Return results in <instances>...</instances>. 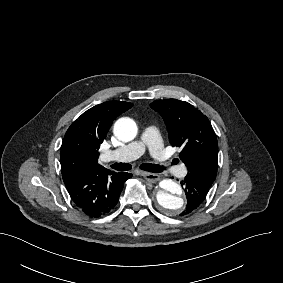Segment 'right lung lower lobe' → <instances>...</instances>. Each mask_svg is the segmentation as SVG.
<instances>
[{
    "label": "right lung lower lobe",
    "mask_w": 283,
    "mask_h": 283,
    "mask_svg": "<svg viewBox=\"0 0 283 283\" xmlns=\"http://www.w3.org/2000/svg\"><path fill=\"white\" fill-rule=\"evenodd\" d=\"M132 174L108 169L84 171L63 179L76 207L90 217L108 214L116 206L124 182Z\"/></svg>",
    "instance_id": "right-lung-lower-lobe-1"
}]
</instances>
